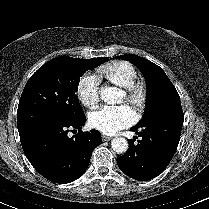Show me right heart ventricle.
I'll return each mask as SVG.
<instances>
[{"instance_id":"right-heart-ventricle-1","label":"right heart ventricle","mask_w":209,"mask_h":209,"mask_svg":"<svg viewBox=\"0 0 209 209\" xmlns=\"http://www.w3.org/2000/svg\"><path fill=\"white\" fill-rule=\"evenodd\" d=\"M99 72L107 80L123 88L127 87L137 78L135 67L126 61L113 62L100 69Z\"/></svg>"}]
</instances>
